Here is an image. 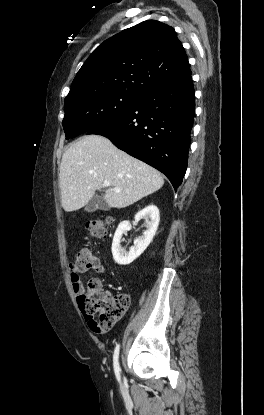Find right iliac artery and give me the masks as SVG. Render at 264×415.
I'll return each mask as SVG.
<instances>
[{
    "instance_id": "82829eb1",
    "label": "right iliac artery",
    "mask_w": 264,
    "mask_h": 415,
    "mask_svg": "<svg viewBox=\"0 0 264 415\" xmlns=\"http://www.w3.org/2000/svg\"><path fill=\"white\" fill-rule=\"evenodd\" d=\"M119 350H120V345L118 344L116 346V348L114 350V354H113V366H114V372H115L116 378L120 382L121 376H120V366H119V362H118Z\"/></svg>"
}]
</instances>
